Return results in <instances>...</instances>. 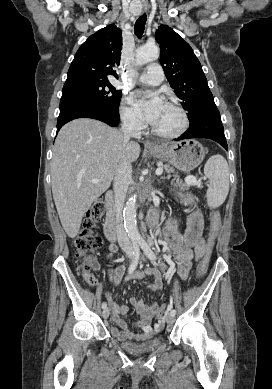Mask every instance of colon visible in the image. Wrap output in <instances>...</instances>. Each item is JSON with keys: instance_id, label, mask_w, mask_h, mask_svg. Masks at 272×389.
<instances>
[{"instance_id": "5ec220e1", "label": "colon", "mask_w": 272, "mask_h": 389, "mask_svg": "<svg viewBox=\"0 0 272 389\" xmlns=\"http://www.w3.org/2000/svg\"><path fill=\"white\" fill-rule=\"evenodd\" d=\"M105 205L102 201L95 202L87 211L80 232L75 239V254L81 259L79 274L88 284L95 283V277L91 272L92 255L97 253L103 246L102 238L95 233L96 223L102 218ZM221 223L220 213L217 210L211 213V226L207 237L206 248L203 258L198 266L197 276L202 278L209 266L212 249ZM169 309V305L163 304L158 309V319H163Z\"/></svg>"}]
</instances>
